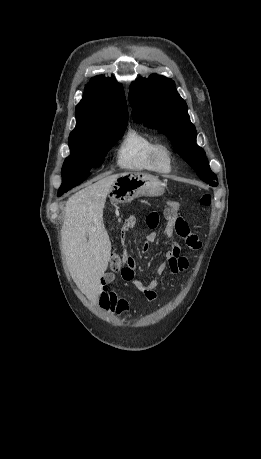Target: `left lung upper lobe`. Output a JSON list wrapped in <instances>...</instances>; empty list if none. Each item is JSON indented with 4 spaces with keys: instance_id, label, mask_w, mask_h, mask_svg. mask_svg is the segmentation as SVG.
<instances>
[{
    "instance_id": "left-lung-upper-lobe-1",
    "label": "left lung upper lobe",
    "mask_w": 261,
    "mask_h": 459,
    "mask_svg": "<svg viewBox=\"0 0 261 459\" xmlns=\"http://www.w3.org/2000/svg\"><path fill=\"white\" fill-rule=\"evenodd\" d=\"M129 102L135 122L164 133L203 181L214 187L218 185L204 150L196 144V129L190 122L186 102L171 79L156 74L142 78L130 86Z\"/></svg>"
}]
</instances>
